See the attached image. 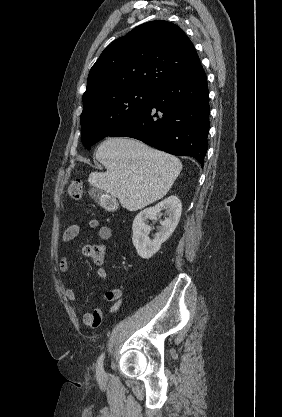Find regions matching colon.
Wrapping results in <instances>:
<instances>
[{"mask_svg":"<svg viewBox=\"0 0 282 417\" xmlns=\"http://www.w3.org/2000/svg\"><path fill=\"white\" fill-rule=\"evenodd\" d=\"M82 192H83L82 184L76 181L69 183L66 188L67 196L74 200H81ZM84 254L88 257H91L96 262H102L104 258V251L98 246L85 248Z\"/></svg>","mask_w":282,"mask_h":417,"instance_id":"1","label":"colon"}]
</instances>
